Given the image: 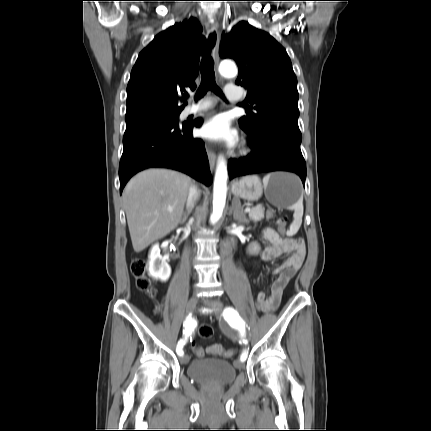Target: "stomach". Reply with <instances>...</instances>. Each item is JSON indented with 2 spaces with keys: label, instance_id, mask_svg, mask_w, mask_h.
I'll use <instances>...</instances> for the list:
<instances>
[{
  "label": "stomach",
  "instance_id": "0dacf381",
  "mask_svg": "<svg viewBox=\"0 0 431 431\" xmlns=\"http://www.w3.org/2000/svg\"><path fill=\"white\" fill-rule=\"evenodd\" d=\"M263 190L267 200L279 208H292L302 196L299 178L285 172L270 174L268 182L263 185L258 176H245L233 182L231 187L235 197L248 201H257L261 198Z\"/></svg>",
  "mask_w": 431,
  "mask_h": 431
}]
</instances>
